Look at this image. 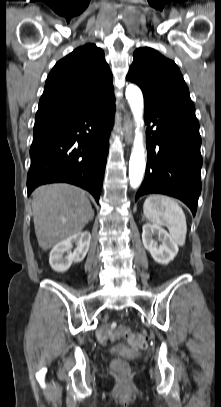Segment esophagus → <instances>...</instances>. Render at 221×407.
Returning <instances> with one entry per match:
<instances>
[{
    "label": "esophagus",
    "mask_w": 221,
    "mask_h": 407,
    "mask_svg": "<svg viewBox=\"0 0 221 407\" xmlns=\"http://www.w3.org/2000/svg\"><path fill=\"white\" fill-rule=\"evenodd\" d=\"M123 130H124L125 142L127 144H130L133 139V122H132L129 114H127L125 117V121L123 124Z\"/></svg>",
    "instance_id": "1"
}]
</instances>
